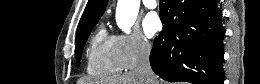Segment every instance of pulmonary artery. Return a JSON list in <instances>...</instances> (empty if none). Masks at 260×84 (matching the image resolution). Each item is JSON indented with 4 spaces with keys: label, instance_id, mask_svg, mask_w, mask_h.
Here are the masks:
<instances>
[{
    "label": "pulmonary artery",
    "instance_id": "pulmonary-artery-1",
    "mask_svg": "<svg viewBox=\"0 0 260 84\" xmlns=\"http://www.w3.org/2000/svg\"><path fill=\"white\" fill-rule=\"evenodd\" d=\"M143 4L148 9H155L157 7V2L155 0H143Z\"/></svg>",
    "mask_w": 260,
    "mask_h": 84
}]
</instances>
